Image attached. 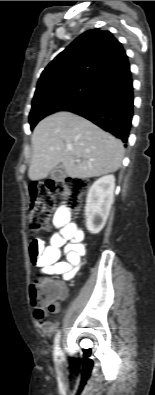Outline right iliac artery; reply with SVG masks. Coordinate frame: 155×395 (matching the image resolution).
Here are the masks:
<instances>
[{
  "instance_id": "1",
  "label": "right iliac artery",
  "mask_w": 155,
  "mask_h": 395,
  "mask_svg": "<svg viewBox=\"0 0 155 395\" xmlns=\"http://www.w3.org/2000/svg\"><path fill=\"white\" fill-rule=\"evenodd\" d=\"M60 339H61V332L58 331L55 335V340H54V352L56 356H58L60 353Z\"/></svg>"
}]
</instances>
